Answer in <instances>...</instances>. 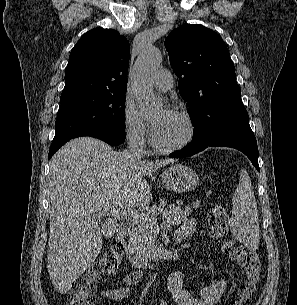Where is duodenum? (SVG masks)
Returning <instances> with one entry per match:
<instances>
[{"label":"duodenum","instance_id":"obj_1","mask_svg":"<svg viewBox=\"0 0 297 305\" xmlns=\"http://www.w3.org/2000/svg\"><path fill=\"white\" fill-rule=\"evenodd\" d=\"M118 242L121 244L126 259L138 269H150L157 270L158 265L155 259L147 258L141 255L135 247L134 239L131 235L130 228L125 223L117 224ZM188 235V232L180 231L177 232L175 241L180 243Z\"/></svg>","mask_w":297,"mask_h":305}]
</instances>
